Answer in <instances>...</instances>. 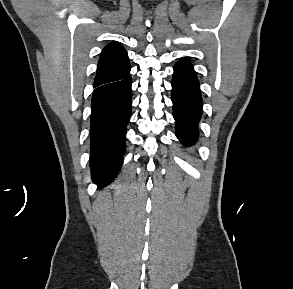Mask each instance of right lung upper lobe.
<instances>
[{"instance_id":"right-lung-upper-lobe-1","label":"right lung upper lobe","mask_w":293,"mask_h":289,"mask_svg":"<svg viewBox=\"0 0 293 289\" xmlns=\"http://www.w3.org/2000/svg\"><path fill=\"white\" fill-rule=\"evenodd\" d=\"M130 68L129 58L125 49L118 42L110 43L101 53L94 88L127 77Z\"/></svg>"}]
</instances>
